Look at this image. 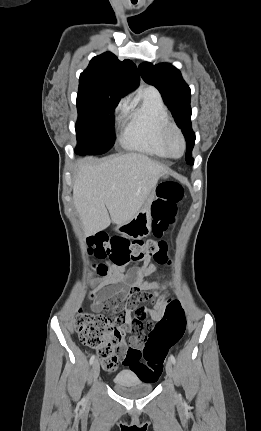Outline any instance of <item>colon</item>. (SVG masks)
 <instances>
[{"instance_id": "obj_1", "label": "colon", "mask_w": 261, "mask_h": 431, "mask_svg": "<svg viewBox=\"0 0 261 431\" xmlns=\"http://www.w3.org/2000/svg\"><path fill=\"white\" fill-rule=\"evenodd\" d=\"M183 195V188L176 182L166 181L158 186L157 197L151 208L152 230L156 238L167 233ZM88 246L90 253L96 258H108L113 265L119 267L151 257L159 264L168 261L166 243L154 239L130 241L122 236L96 234L88 239ZM107 271L108 267L104 264L97 267L101 276ZM164 301L163 317L151 330L152 334L148 335L143 351L130 348L126 352L129 360L125 362V367L132 369L133 375H137L144 385L154 386L161 381L164 358L168 350L181 340L186 330V318L180 303L168 299L167 295L164 296ZM120 320L121 317L109 319L103 315L80 311L74 321L75 331L81 341L97 350L103 366L110 371L116 368L118 354L124 348L123 335L118 330ZM141 358H144L145 363L141 362Z\"/></svg>"}]
</instances>
